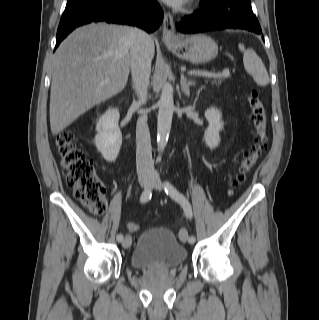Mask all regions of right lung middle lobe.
Masks as SVG:
<instances>
[{
  "mask_svg": "<svg viewBox=\"0 0 319 320\" xmlns=\"http://www.w3.org/2000/svg\"><path fill=\"white\" fill-rule=\"evenodd\" d=\"M84 1L85 0H68L65 9H69V8L75 7V6L79 5L80 3L84 2Z\"/></svg>",
  "mask_w": 319,
  "mask_h": 320,
  "instance_id": "1",
  "label": "right lung middle lobe"
}]
</instances>
